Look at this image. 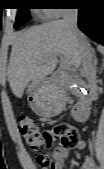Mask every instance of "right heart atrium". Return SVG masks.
<instances>
[{"label":"right heart atrium","instance_id":"right-heart-atrium-1","mask_svg":"<svg viewBox=\"0 0 104 169\" xmlns=\"http://www.w3.org/2000/svg\"><path fill=\"white\" fill-rule=\"evenodd\" d=\"M66 11L67 9H45L43 11V16L47 19H54L61 17Z\"/></svg>","mask_w":104,"mask_h":169}]
</instances>
